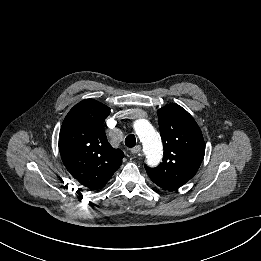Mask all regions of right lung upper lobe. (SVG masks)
<instances>
[{"instance_id": "1", "label": "right lung upper lobe", "mask_w": 261, "mask_h": 261, "mask_svg": "<svg viewBox=\"0 0 261 261\" xmlns=\"http://www.w3.org/2000/svg\"><path fill=\"white\" fill-rule=\"evenodd\" d=\"M109 114L108 106L86 99L69 111L60 130L62 161L70 174L90 190L103 188L124 157L107 141L103 123Z\"/></svg>"}]
</instances>
